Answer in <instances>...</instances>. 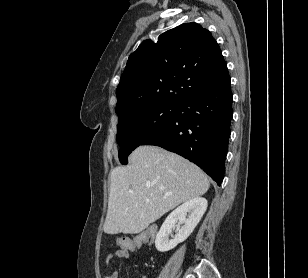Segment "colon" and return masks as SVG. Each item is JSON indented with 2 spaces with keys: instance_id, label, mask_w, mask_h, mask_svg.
<instances>
[{
  "instance_id": "colon-1",
  "label": "colon",
  "mask_w": 308,
  "mask_h": 278,
  "mask_svg": "<svg viewBox=\"0 0 308 278\" xmlns=\"http://www.w3.org/2000/svg\"><path fill=\"white\" fill-rule=\"evenodd\" d=\"M158 236L157 226H147L146 231L140 235H135L134 240L127 237H120L117 239V245L120 250H129L130 253H138L139 247L145 242H150L153 237Z\"/></svg>"
}]
</instances>
